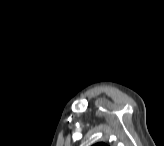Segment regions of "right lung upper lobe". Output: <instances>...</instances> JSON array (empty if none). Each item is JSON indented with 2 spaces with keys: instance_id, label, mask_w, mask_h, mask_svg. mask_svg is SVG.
Listing matches in <instances>:
<instances>
[{
  "instance_id": "obj_1",
  "label": "right lung upper lobe",
  "mask_w": 164,
  "mask_h": 146,
  "mask_svg": "<svg viewBox=\"0 0 164 146\" xmlns=\"http://www.w3.org/2000/svg\"><path fill=\"white\" fill-rule=\"evenodd\" d=\"M95 146H106L104 143H98Z\"/></svg>"
}]
</instances>
